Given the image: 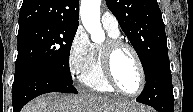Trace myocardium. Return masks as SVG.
Here are the masks:
<instances>
[{
    "instance_id": "myocardium-1",
    "label": "myocardium",
    "mask_w": 193,
    "mask_h": 112,
    "mask_svg": "<svg viewBox=\"0 0 193 112\" xmlns=\"http://www.w3.org/2000/svg\"><path fill=\"white\" fill-rule=\"evenodd\" d=\"M123 48L128 49L133 54L140 73V86L138 90L134 93H129V92H126L124 89H122V87L117 82L113 72L114 55L120 49H123ZM101 65H102V71L106 81L118 93L129 97H136L143 92L146 84V75H145L144 66L137 50L130 43L120 38H110L101 47Z\"/></svg>"
}]
</instances>
